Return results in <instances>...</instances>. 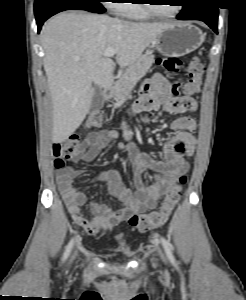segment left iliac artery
<instances>
[{
  "instance_id": "left-iliac-artery-1",
  "label": "left iliac artery",
  "mask_w": 246,
  "mask_h": 300,
  "mask_svg": "<svg viewBox=\"0 0 246 300\" xmlns=\"http://www.w3.org/2000/svg\"><path fill=\"white\" fill-rule=\"evenodd\" d=\"M161 242L163 244V247L166 251V254H167L169 260L174 264L175 263V258H174L173 253H172L171 244L163 237H161Z\"/></svg>"
}]
</instances>
